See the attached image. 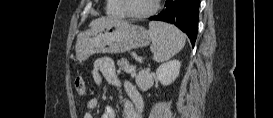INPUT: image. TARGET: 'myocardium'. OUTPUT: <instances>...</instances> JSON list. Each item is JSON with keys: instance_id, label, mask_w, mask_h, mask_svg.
Segmentation results:
<instances>
[{"instance_id": "obj_1", "label": "myocardium", "mask_w": 273, "mask_h": 118, "mask_svg": "<svg viewBox=\"0 0 273 118\" xmlns=\"http://www.w3.org/2000/svg\"><path fill=\"white\" fill-rule=\"evenodd\" d=\"M121 2V6L125 12V14L130 17V18H134V19H145V18H149L150 16H152L153 14L156 13V11L159 8V0H154V3L152 5V7L150 9H148L147 11H143V12H132L128 9V3L127 0H120Z\"/></svg>"}]
</instances>
